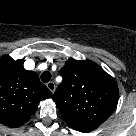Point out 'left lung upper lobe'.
<instances>
[{
    "label": "left lung upper lobe",
    "mask_w": 136,
    "mask_h": 136,
    "mask_svg": "<svg viewBox=\"0 0 136 136\" xmlns=\"http://www.w3.org/2000/svg\"><path fill=\"white\" fill-rule=\"evenodd\" d=\"M60 75L63 81L54 93L53 101L71 128L90 132L116 109L118 86L98 64L69 59Z\"/></svg>",
    "instance_id": "1"
}]
</instances>
